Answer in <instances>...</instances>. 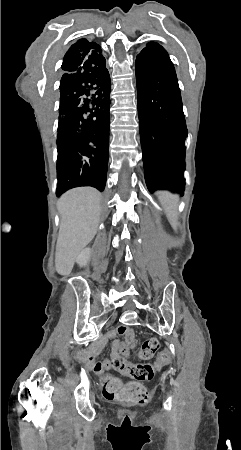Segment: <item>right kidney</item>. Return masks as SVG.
<instances>
[{"mask_svg": "<svg viewBox=\"0 0 241 450\" xmlns=\"http://www.w3.org/2000/svg\"><path fill=\"white\" fill-rule=\"evenodd\" d=\"M89 258H90V248H85V250H82V252L78 254L76 262L77 264H79V266H86V264H88L89 262Z\"/></svg>", "mask_w": 241, "mask_h": 450, "instance_id": "right-kidney-1", "label": "right kidney"}]
</instances>
